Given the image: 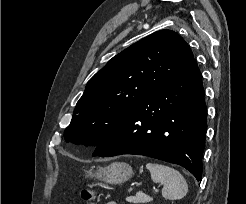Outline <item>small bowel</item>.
Here are the masks:
<instances>
[{"instance_id": "1", "label": "small bowel", "mask_w": 246, "mask_h": 204, "mask_svg": "<svg viewBox=\"0 0 246 204\" xmlns=\"http://www.w3.org/2000/svg\"><path fill=\"white\" fill-rule=\"evenodd\" d=\"M105 204H117V203L114 202V201H109V202H107V203H105Z\"/></svg>"}]
</instances>
